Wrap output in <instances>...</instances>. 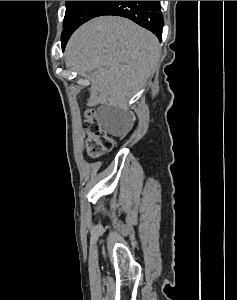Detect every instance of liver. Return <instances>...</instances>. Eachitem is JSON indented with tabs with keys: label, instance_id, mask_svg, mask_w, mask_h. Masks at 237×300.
I'll list each match as a JSON object with an SVG mask.
<instances>
[{
	"label": "liver",
	"instance_id": "obj_1",
	"mask_svg": "<svg viewBox=\"0 0 237 300\" xmlns=\"http://www.w3.org/2000/svg\"><path fill=\"white\" fill-rule=\"evenodd\" d=\"M66 65L79 75L94 73L99 99L128 103L155 73L160 43L150 31L123 17H96L73 33Z\"/></svg>",
	"mask_w": 237,
	"mask_h": 300
}]
</instances>
